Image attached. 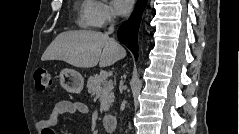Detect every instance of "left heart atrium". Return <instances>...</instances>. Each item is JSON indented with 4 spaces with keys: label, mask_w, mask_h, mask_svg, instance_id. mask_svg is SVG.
Masks as SVG:
<instances>
[{
    "label": "left heart atrium",
    "mask_w": 239,
    "mask_h": 134,
    "mask_svg": "<svg viewBox=\"0 0 239 134\" xmlns=\"http://www.w3.org/2000/svg\"><path fill=\"white\" fill-rule=\"evenodd\" d=\"M116 12L120 15H125L129 13L132 8V0H115L113 2Z\"/></svg>",
    "instance_id": "left-heart-atrium-1"
}]
</instances>
